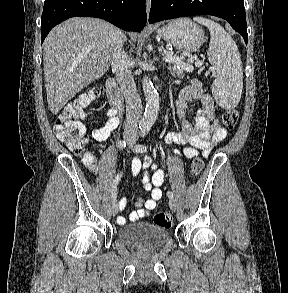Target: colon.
Returning <instances> with one entry per match:
<instances>
[{"label":"colon","instance_id":"colon-1","mask_svg":"<svg viewBox=\"0 0 288 293\" xmlns=\"http://www.w3.org/2000/svg\"><path fill=\"white\" fill-rule=\"evenodd\" d=\"M101 94L99 89L92 90L81 99L66 105L54 122V132L57 138L66 144V146L76 155H81L83 162L89 169L96 168L95 158L86 152L88 141L86 127L82 122L85 109ZM239 118L237 109L226 110L222 115L223 124L233 129ZM204 168V162L196 158L191 163V174L197 177ZM154 223L164 228L172 226V216L168 212H158L154 216Z\"/></svg>","mask_w":288,"mask_h":293}]
</instances>
